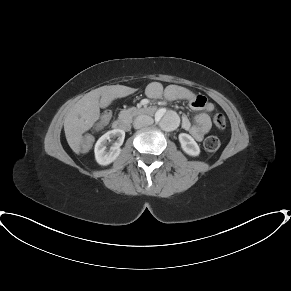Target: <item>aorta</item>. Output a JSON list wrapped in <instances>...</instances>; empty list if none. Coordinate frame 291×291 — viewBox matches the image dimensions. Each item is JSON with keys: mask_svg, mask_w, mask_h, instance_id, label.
I'll list each match as a JSON object with an SVG mask.
<instances>
[{"mask_svg": "<svg viewBox=\"0 0 291 291\" xmlns=\"http://www.w3.org/2000/svg\"><path fill=\"white\" fill-rule=\"evenodd\" d=\"M160 127L165 131H173L179 125L178 117L175 113L167 111L157 115Z\"/></svg>", "mask_w": 291, "mask_h": 291, "instance_id": "1", "label": "aorta"}]
</instances>
